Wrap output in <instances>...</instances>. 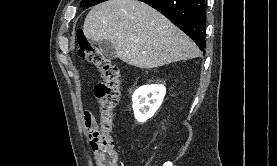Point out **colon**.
Returning a JSON list of instances; mask_svg holds the SVG:
<instances>
[{
    "label": "colon",
    "mask_w": 277,
    "mask_h": 166,
    "mask_svg": "<svg viewBox=\"0 0 277 166\" xmlns=\"http://www.w3.org/2000/svg\"><path fill=\"white\" fill-rule=\"evenodd\" d=\"M77 42L79 56L94 64L102 77L94 89L100 104V118L98 122L88 123L86 127L97 166H118V156L112 134L114 109L119 99L120 70L86 38L82 30L77 32Z\"/></svg>",
    "instance_id": "obj_1"
}]
</instances>
